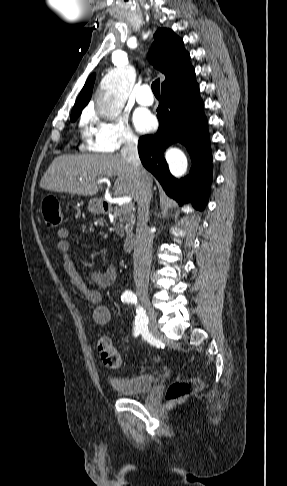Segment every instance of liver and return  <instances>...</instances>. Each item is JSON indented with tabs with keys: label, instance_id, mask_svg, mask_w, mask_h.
<instances>
[{
	"label": "liver",
	"instance_id": "liver-1",
	"mask_svg": "<svg viewBox=\"0 0 287 486\" xmlns=\"http://www.w3.org/2000/svg\"><path fill=\"white\" fill-rule=\"evenodd\" d=\"M148 174V173H147ZM117 176L113 193L129 196L137 201L138 180L130 162L116 155H63L56 157L40 181L42 189L66 192L82 196L97 194L100 185L96 181ZM152 183V179L148 174Z\"/></svg>",
	"mask_w": 287,
	"mask_h": 486
}]
</instances>
